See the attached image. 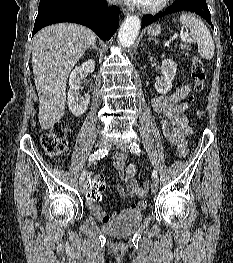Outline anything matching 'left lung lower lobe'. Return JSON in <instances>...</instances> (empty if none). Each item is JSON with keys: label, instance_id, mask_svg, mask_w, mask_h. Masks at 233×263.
Here are the masks:
<instances>
[{"label": "left lung lower lobe", "instance_id": "1", "mask_svg": "<svg viewBox=\"0 0 233 263\" xmlns=\"http://www.w3.org/2000/svg\"><path fill=\"white\" fill-rule=\"evenodd\" d=\"M179 11H192L203 18L212 26L211 16L209 9L206 4V0H176L170 7H168L165 11L159 13L158 15L151 16L147 15L143 17V23L141 28L155 22L159 19V17L179 12Z\"/></svg>", "mask_w": 233, "mask_h": 263}]
</instances>
